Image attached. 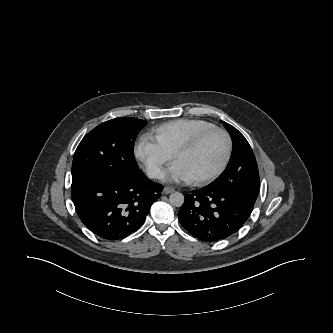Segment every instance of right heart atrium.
<instances>
[{"label": "right heart atrium", "mask_w": 333, "mask_h": 333, "mask_svg": "<svg viewBox=\"0 0 333 333\" xmlns=\"http://www.w3.org/2000/svg\"><path fill=\"white\" fill-rule=\"evenodd\" d=\"M134 153L145 166L147 173L155 179L163 176L164 167L171 160V155L168 152L147 137L138 140Z\"/></svg>", "instance_id": "right-heart-atrium-1"}]
</instances>
